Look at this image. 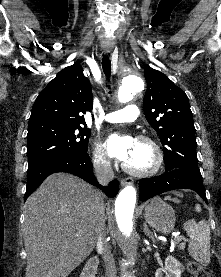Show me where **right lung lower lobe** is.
Segmentation results:
<instances>
[{
  "label": "right lung lower lobe",
  "instance_id": "obj_1",
  "mask_svg": "<svg viewBox=\"0 0 221 277\" xmlns=\"http://www.w3.org/2000/svg\"><path fill=\"white\" fill-rule=\"evenodd\" d=\"M56 172H68L74 174L88 183L99 187L109 197L116 196L119 190V183L113 180L107 187L98 184L94 173L93 165L87 152H79L68 157L49 161L41 164L32 171H28V181L25 193V200L36 190L40 184L51 174Z\"/></svg>",
  "mask_w": 221,
  "mask_h": 277
}]
</instances>
